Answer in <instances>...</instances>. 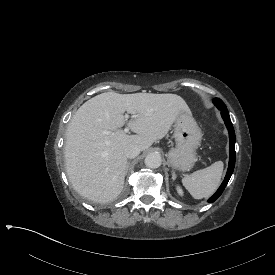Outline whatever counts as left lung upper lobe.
Masks as SVG:
<instances>
[{"label":"left lung upper lobe","mask_w":275,"mask_h":275,"mask_svg":"<svg viewBox=\"0 0 275 275\" xmlns=\"http://www.w3.org/2000/svg\"><path fill=\"white\" fill-rule=\"evenodd\" d=\"M214 104L217 106V108L221 111L228 112L226 105L223 103V101L219 98L214 99Z\"/></svg>","instance_id":"5c2ea615"}]
</instances>
